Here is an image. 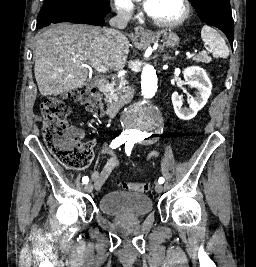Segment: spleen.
Instances as JSON below:
<instances>
[{
    "mask_svg": "<svg viewBox=\"0 0 256 267\" xmlns=\"http://www.w3.org/2000/svg\"><path fill=\"white\" fill-rule=\"evenodd\" d=\"M201 38L209 46L210 50H212L213 58H228L229 48L217 30H213L210 26H203Z\"/></svg>",
    "mask_w": 256,
    "mask_h": 267,
    "instance_id": "obj_1",
    "label": "spleen"
}]
</instances>
